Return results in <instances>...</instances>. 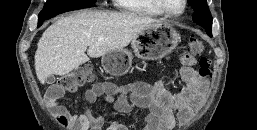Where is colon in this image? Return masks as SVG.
<instances>
[{
    "label": "colon",
    "mask_w": 257,
    "mask_h": 130,
    "mask_svg": "<svg viewBox=\"0 0 257 130\" xmlns=\"http://www.w3.org/2000/svg\"><path fill=\"white\" fill-rule=\"evenodd\" d=\"M206 48L205 43L197 38L192 37L189 41L190 52L195 56H200ZM198 73L203 78L211 76L210 62L206 57H202L199 61ZM93 79V73L90 66L77 69L63 77L49 88V94L53 98L62 96L65 92H74L78 87L90 82ZM59 120L62 124L67 123L64 115H60Z\"/></svg>",
    "instance_id": "obj_1"
}]
</instances>
